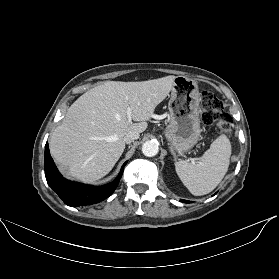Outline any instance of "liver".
Segmentation results:
<instances>
[{
  "label": "liver",
  "instance_id": "1",
  "mask_svg": "<svg viewBox=\"0 0 279 279\" xmlns=\"http://www.w3.org/2000/svg\"><path fill=\"white\" fill-rule=\"evenodd\" d=\"M175 76L142 82L108 81L80 96L52 133V157L67 175L94 182L107 175L125 149L130 131L142 133L172 89ZM131 118L139 123L128 122Z\"/></svg>",
  "mask_w": 279,
  "mask_h": 279
}]
</instances>
